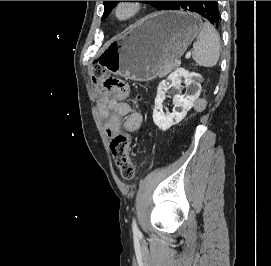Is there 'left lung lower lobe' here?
Here are the masks:
<instances>
[{"instance_id": "obj_1", "label": "left lung lower lobe", "mask_w": 271, "mask_h": 266, "mask_svg": "<svg viewBox=\"0 0 271 266\" xmlns=\"http://www.w3.org/2000/svg\"><path fill=\"white\" fill-rule=\"evenodd\" d=\"M187 10L198 13L216 28L220 25V12L217 1H171L164 10Z\"/></svg>"}]
</instances>
